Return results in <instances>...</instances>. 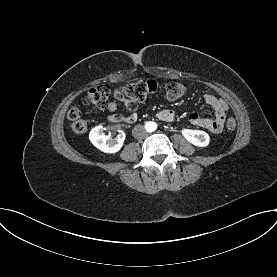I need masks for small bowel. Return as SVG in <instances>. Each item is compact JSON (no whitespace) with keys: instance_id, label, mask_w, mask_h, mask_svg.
Instances as JSON below:
<instances>
[{"instance_id":"c3829d8e","label":"small bowel","mask_w":277,"mask_h":277,"mask_svg":"<svg viewBox=\"0 0 277 277\" xmlns=\"http://www.w3.org/2000/svg\"><path fill=\"white\" fill-rule=\"evenodd\" d=\"M114 96L117 100L122 101L124 103L125 107L130 111V114L127 116H124L122 114L117 113L116 112L118 110L117 103L110 102L107 105V109L109 110V112H111V114L108 115L107 119L110 122H114V123L135 122L137 119V114H136L137 104L125 98L120 93L119 89H115ZM203 98H204V101L214 110V118L204 117L199 115L198 113H191L188 116V121L192 125L204 128L211 133L219 134L223 131V128H224L228 105L223 99L218 98L211 93H205ZM157 117L162 121L171 122V121H174L175 119V113L172 110L165 109L160 111L157 114ZM229 119H233V118L230 117L228 118V120Z\"/></svg>"}]
</instances>
